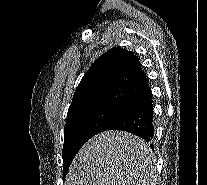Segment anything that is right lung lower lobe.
<instances>
[{
  "label": "right lung lower lobe",
  "mask_w": 207,
  "mask_h": 185,
  "mask_svg": "<svg viewBox=\"0 0 207 185\" xmlns=\"http://www.w3.org/2000/svg\"><path fill=\"white\" fill-rule=\"evenodd\" d=\"M106 130H123L145 141L154 138L153 104L150 88L125 107ZM153 149V144L150 145Z\"/></svg>",
  "instance_id": "1"
}]
</instances>
